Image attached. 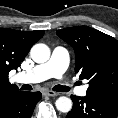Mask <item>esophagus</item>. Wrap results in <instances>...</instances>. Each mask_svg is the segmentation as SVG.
Instances as JSON below:
<instances>
[{
    "label": "esophagus",
    "instance_id": "34e87169",
    "mask_svg": "<svg viewBox=\"0 0 118 118\" xmlns=\"http://www.w3.org/2000/svg\"><path fill=\"white\" fill-rule=\"evenodd\" d=\"M44 94L47 95V96H50V97L58 95L57 92H54V91H51V90H47Z\"/></svg>",
    "mask_w": 118,
    "mask_h": 118
}]
</instances>
